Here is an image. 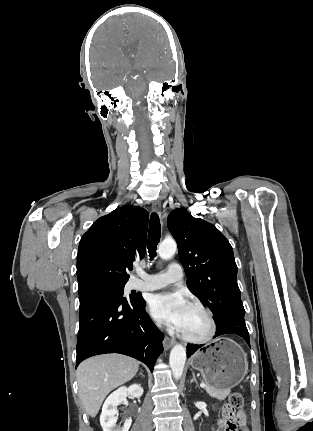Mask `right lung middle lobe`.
I'll use <instances>...</instances> for the list:
<instances>
[{
    "label": "right lung middle lobe",
    "instance_id": "dd1d6c3e",
    "mask_svg": "<svg viewBox=\"0 0 313 431\" xmlns=\"http://www.w3.org/2000/svg\"><path fill=\"white\" fill-rule=\"evenodd\" d=\"M124 285L125 284H121V285H113V286H107V287H103L101 289H107V290H111V291H116L119 292L123 295V291H124ZM130 298H133L132 296H130Z\"/></svg>",
    "mask_w": 313,
    "mask_h": 431
}]
</instances>
